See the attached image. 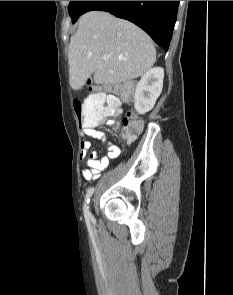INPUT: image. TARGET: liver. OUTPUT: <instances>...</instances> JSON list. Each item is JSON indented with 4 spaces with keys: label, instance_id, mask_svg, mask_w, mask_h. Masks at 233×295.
<instances>
[{
    "label": "liver",
    "instance_id": "1",
    "mask_svg": "<svg viewBox=\"0 0 233 295\" xmlns=\"http://www.w3.org/2000/svg\"><path fill=\"white\" fill-rule=\"evenodd\" d=\"M103 55H108L107 60ZM69 83L80 90L93 74L96 84H117L145 74L156 61L152 39L133 23L108 12L81 16L69 50Z\"/></svg>",
    "mask_w": 233,
    "mask_h": 295
}]
</instances>
